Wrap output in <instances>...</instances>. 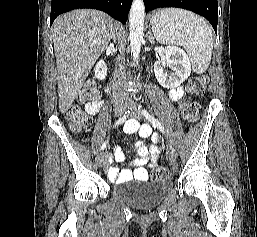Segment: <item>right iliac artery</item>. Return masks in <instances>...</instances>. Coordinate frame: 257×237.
Returning <instances> with one entry per match:
<instances>
[{
	"instance_id": "right-iliac-artery-1",
	"label": "right iliac artery",
	"mask_w": 257,
	"mask_h": 237,
	"mask_svg": "<svg viewBox=\"0 0 257 237\" xmlns=\"http://www.w3.org/2000/svg\"><path fill=\"white\" fill-rule=\"evenodd\" d=\"M130 113V110L126 111L125 114L123 116H121L117 122L115 123V126L119 125V124H123L127 117H128V114ZM106 145H107V141H105L102 146H101V150H104L106 148Z\"/></svg>"
}]
</instances>
